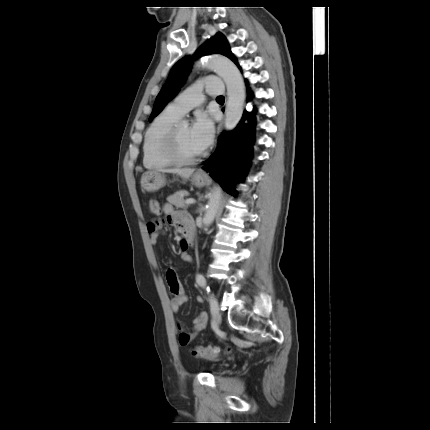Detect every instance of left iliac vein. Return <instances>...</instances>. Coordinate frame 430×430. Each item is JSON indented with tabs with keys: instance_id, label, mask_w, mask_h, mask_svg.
<instances>
[{
	"instance_id": "1",
	"label": "left iliac vein",
	"mask_w": 430,
	"mask_h": 430,
	"mask_svg": "<svg viewBox=\"0 0 430 430\" xmlns=\"http://www.w3.org/2000/svg\"><path fill=\"white\" fill-rule=\"evenodd\" d=\"M211 314L213 317V324L215 326H219L221 322V315H220L219 305L216 300L213 303H211Z\"/></svg>"
}]
</instances>
